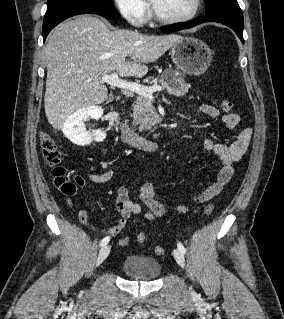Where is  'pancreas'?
Here are the masks:
<instances>
[{
  "label": "pancreas",
  "instance_id": "cf45deb5",
  "mask_svg": "<svg viewBox=\"0 0 284 319\" xmlns=\"http://www.w3.org/2000/svg\"><path fill=\"white\" fill-rule=\"evenodd\" d=\"M168 72L174 73V78L170 79L167 76ZM150 84H160L162 89H166L170 94L175 96L185 95L190 88V85L185 83L184 77L176 70L165 71L160 79H153ZM132 117L133 123L135 125H139L140 130L151 129L157 120L156 110L152 102L148 98L141 95L136 98V102L133 105Z\"/></svg>",
  "mask_w": 284,
  "mask_h": 319
}]
</instances>
